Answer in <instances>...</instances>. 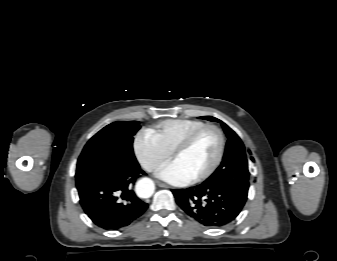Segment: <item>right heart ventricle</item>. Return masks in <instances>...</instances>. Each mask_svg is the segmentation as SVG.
<instances>
[{"instance_id": "obj_1", "label": "right heart ventricle", "mask_w": 337, "mask_h": 261, "mask_svg": "<svg viewBox=\"0 0 337 261\" xmlns=\"http://www.w3.org/2000/svg\"><path fill=\"white\" fill-rule=\"evenodd\" d=\"M203 125L205 123L199 120L168 119L159 122L148 131L171 154L187 134Z\"/></svg>"}]
</instances>
